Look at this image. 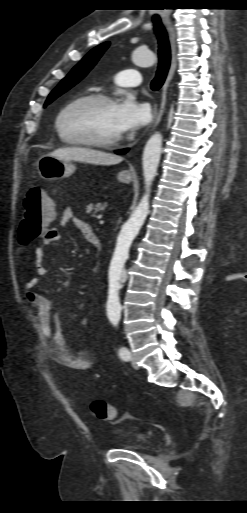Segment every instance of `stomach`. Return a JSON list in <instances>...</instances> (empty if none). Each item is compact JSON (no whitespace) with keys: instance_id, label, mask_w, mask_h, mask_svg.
<instances>
[{"instance_id":"obj_1","label":"stomach","mask_w":247,"mask_h":513,"mask_svg":"<svg viewBox=\"0 0 247 513\" xmlns=\"http://www.w3.org/2000/svg\"><path fill=\"white\" fill-rule=\"evenodd\" d=\"M37 169L41 178L53 181L70 176L74 173L76 166L71 161L44 155L38 160ZM117 179L128 184L132 181V176L127 171H122L117 175Z\"/></svg>"}]
</instances>
